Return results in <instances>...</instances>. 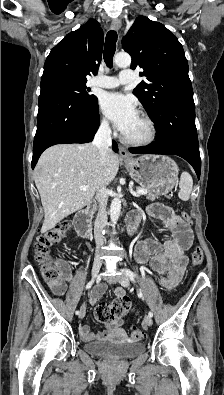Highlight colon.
I'll use <instances>...</instances> for the list:
<instances>
[{
  "mask_svg": "<svg viewBox=\"0 0 224 395\" xmlns=\"http://www.w3.org/2000/svg\"><path fill=\"white\" fill-rule=\"evenodd\" d=\"M180 217L184 222V229L188 228L190 217L186 212H181ZM68 227L66 224L56 226L47 232L40 234L36 238L35 258L42 267L43 277L47 282H59L65 274L66 265L53 260L50 256L51 247L58 243L66 235ZM204 258L203 251L200 247H195L191 253V261L194 266L202 263ZM131 302L129 297L123 295L111 303L102 302L95 309V317L101 323H110L116 317L121 316L129 311ZM132 339L138 340L144 336V331L133 326L130 330Z\"/></svg>",
  "mask_w": 224,
  "mask_h": 395,
  "instance_id": "obj_1",
  "label": "colon"
}]
</instances>
